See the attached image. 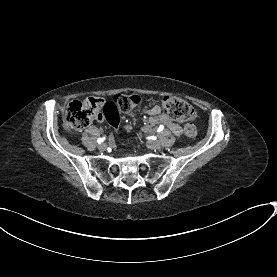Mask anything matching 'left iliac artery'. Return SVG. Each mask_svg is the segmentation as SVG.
<instances>
[{"label": "left iliac artery", "instance_id": "1", "mask_svg": "<svg viewBox=\"0 0 277 277\" xmlns=\"http://www.w3.org/2000/svg\"><path fill=\"white\" fill-rule=\"evenodd\" d=\"M163 129H164V126H163V125H160V126L158 127V129H157V132H161V131H163Z\"/></svg>", "mask_w": 277, "mask_h": 277}]
</instances>
